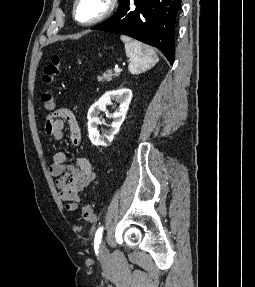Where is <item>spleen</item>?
Segmentation results:
<instances>
[{
    "label": "spleen",
    "instance_id": "1",
    "mask_svg": "<svg viewBox=\"0 0 255 287\" xmlns=\"http://www.w3.org/2000/svg\"><path fill=\"white\" fill-rule=\"evenodd\" d=\"M120 40L125 44L127 58H130L128 68L131 74L140 72L143 68H151L153 64L158 62L159 58L155 56V52H153L150 46H146V44H142V42H137V40H132V38H128V36H120Z\"/></svg>",
    "mask_w": 255,
    "mask_h": 287
}]
</instances>
